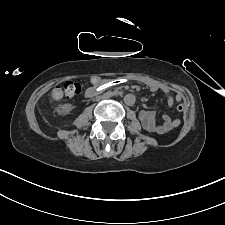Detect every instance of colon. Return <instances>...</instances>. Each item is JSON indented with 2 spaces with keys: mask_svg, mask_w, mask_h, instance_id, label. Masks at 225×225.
<instances>
[{
  "mask_svg": "<svg viewBox=\"0 0 225 225\" xmlns=\"http://www.w3.org/2000/svg\"><path fill=\"white\" fill-rule=\"evenodd\" d=\"M104 82L101 77L94 76L91 78V83L94 85H100ZM81 90L80 85L74 81H66L62 86H58L54 88L51 92V99L53 101H60L64 96L72 97L77 95ZM177 110L182 112L184 110V106L182 103L177 105Z\"/></svg>",
  "mask_w": 225,
  "mask_h": 225,
  "instance_id": "colon-1",
  "label": "colon"
}]
</instances>
